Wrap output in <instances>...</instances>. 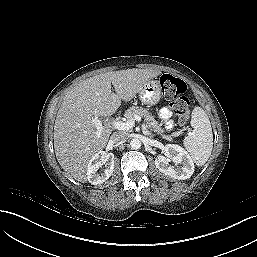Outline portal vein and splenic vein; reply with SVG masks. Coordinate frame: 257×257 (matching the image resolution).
Here are the masks:
<instances>
[{
  "mask_svg": "<svg viewBox=\"0 0 257 257\" xmlns=\"http://www.w3.org/2000/svg\"><path fill=\"white\" fill-rule=\"evenodd\" d=\"M136 122L141 121V117L138 115H135L134 118L127 120L126 122H122L119 120H111L109 121V124L112 125L117 130H129L132 129ZM91 122L96 126L97 130L101 131L102 129V120L98 119L97 117L92 118ZM181 132H175L173 133L174 136L179 135Z\"/></svg>",
  "mask_w": 257,
  "mask_h": 257,
  "instance_id": "18ae733b",
  "label": "portal vein and splenic vein"
}]
</instances>
